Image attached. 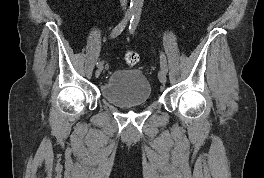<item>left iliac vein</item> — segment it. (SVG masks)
Segmentation results:
<instances>
[{"label": "left iliac vein", "instance_id": "obj_1", "mask_svg": "<svg viewBox=\"0 0 264 178\" xmlns=\"http://www.w3.org/2000/svg\"><path fill=\"white\" fill-rule=\"evenodd\" d=\"M158 78H159V81L162 84H165L166 83V80H167L166 72L164 70H160L159 73H158Z\"/></svg>", "mask_w": 264, "mask_h": 178}]
</instances>
